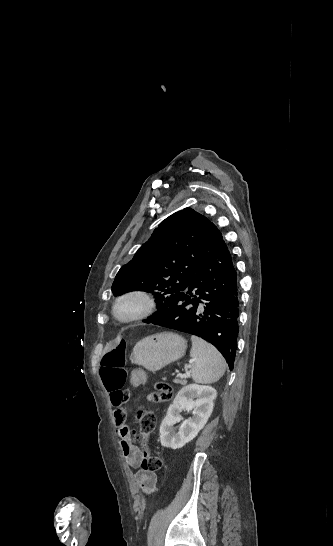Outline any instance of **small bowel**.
I'll use <instances>...</instances> for the list:
<instances>
[{"instance_id":"obj_1","label":"small bowel","mask_w":333,"mask_h":546,"mask_svg":"<svg viewBox=\"0 0 333 546\" xmlns=\"http://www.w3.org/2000/svg\"><path fill=\"white\" fill-rule=\"evenodd\" d=\"M139 368H132L129 374L134 377L135 380L142 381L141 385L146 387L148 385L146 380H148L149 377L146 374L144 375V373H146L147 370L142 367V365H139ZM124 394L125 392L123 390L109 392L111 403L116 408L114 411V418L117 425V433L120 438L122 454L128 466L131 468H140L143 460V453L140 448L133 443L131 430L127 424H125L127 412L121 407ZM135 481L143 493H148L154 488L157 476L155 472L139 469L135 474Z\"/></svg>"}]
</instances>
